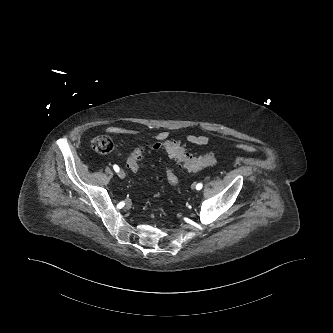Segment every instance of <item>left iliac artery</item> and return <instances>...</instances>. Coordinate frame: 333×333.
<instances>
[{"label": "left iliac artery", "instance_id": "44dca946", "mask_svg": "<svg viewBox=\"0 0 333 333\" xmlns=\"http://www.w3.org/2000/svg\"><path fill=\"white\" fill-rule=\"evenodd\" d=\"M202 187H203V184H202V183H198V184L196 185V189H197V190H201Z\"/></svg>", "mask_w": 333, "mask_h": 333}]
</instances>
